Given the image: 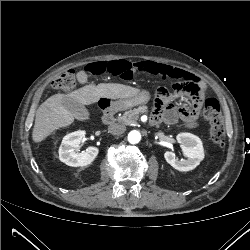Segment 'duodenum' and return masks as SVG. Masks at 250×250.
I'll return each instance as SVG.
<instances>
[{"mask_svg":"<svg viewBox=\"0 0 250 250\" xmlns=\"http://www.w3.org/2000/svg\"><path fill=\"white\" fill-rule=\"evenodd\" d=\"M113 111L114 107L108 102L101 103V112H102V120L106 124H110L113 122ZM151 122L153 124L157 123L156 119H152Z\"/></svg>","mask_w":250,"mask_h":250,"instance_id":"duodenum-1","label":"duodenum"}]
</instances>
